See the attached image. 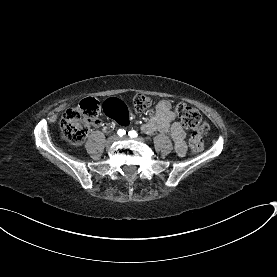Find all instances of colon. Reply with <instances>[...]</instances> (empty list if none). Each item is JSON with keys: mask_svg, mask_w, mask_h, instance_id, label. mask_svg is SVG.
Listing matches in <instances>:
<instances>
[{"mask_svg": "<svg viewBox=\"0 0 277 277\" xmlns=\"http://www.w3.org/2000/svg\"><path fill=\"white\" fill-rule=\"evenodd\" d=\"M95 100V95L90 94L81 102L79 109H69L63 114L60 128L65 139L72 143H81L86 138L89 125L96 120L99 113ZM133 104L137 111H142L153 105V98L137 94L133 98ZM176 114L191 132L188 141L190 150L194 153L202 151L204 149L203 136L208 132V124L203 120L200 111L185 103H179L176 107Z\"/></svg>", "mask_w": 277, "mask_h": 277, "instance_id": "colon-1", "label": "colon"}]
</instances>
